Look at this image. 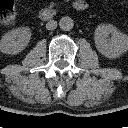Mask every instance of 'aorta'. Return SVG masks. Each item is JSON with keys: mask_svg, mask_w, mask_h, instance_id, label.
Here are the masks:
<instances>
[{"mask_svg": "<svg viewBox=\"0 0 128 128\" xmlns=\"http://www.w3.org/2000/svg\"><path fill=\"white\" fill-rule=\"evenodd\" d=\"M59 26L63 31H70L73 26V19L69 16H64L59 21Z\"/></svg>", "mask_w": 128, "mask_h": 128, "instance_id": "aorta-1", "label": "aorta"}]
</instances>
